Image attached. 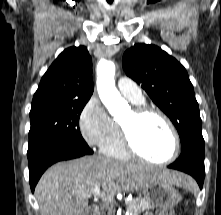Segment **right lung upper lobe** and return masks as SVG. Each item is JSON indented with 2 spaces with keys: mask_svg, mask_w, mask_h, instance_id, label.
I'll return each instance as SVG.
<instances>
[{
  "mask_svg": "<svg viewBox=\"0 0 221 215\" xmlns=\"http://www.w3.org/2000/svg\"><path fill=\"white\" fill-rule=\"evenodd\" d=\"M92 61L85 46L65 49L43 75L32 105L48 101H88L93 93Z\"/></svg>",
  "mask_w": 221,
  "mask_h": 215,
  "instance_id": "1",
  "label": "right lung upper lobe"
}]
</instances>
